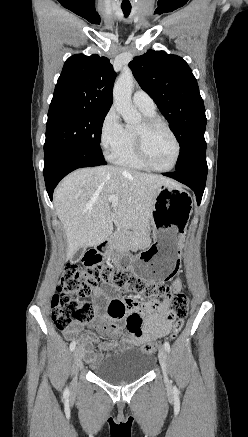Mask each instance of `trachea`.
Here are the masks:
<instances>
[{
	"instance_id": "trachea-1",
	"label": "trachea",
	"mask_w": 248,
	"mask_h": 437,
	"mask_svg": "<svg viewBox=\"0 0 248 437\" xmlns=\"http://www.w3.org/2000/svg\"><path fill=\"white\" fill-rule=\"evenodd\" d=\"M122 11L125 17H128L130 12H131V7L130 8H124L122 7Z\"/></svg>"
}]
</instances>
